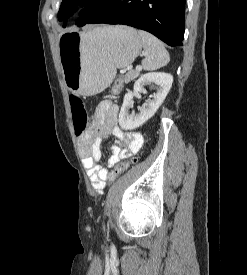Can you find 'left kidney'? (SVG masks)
I'll return each instance as SVG.
<instances>
[{
    "label": "left kidney",
    "mask_w": 247,
    "mask_h": 275,
    "mask_svg": "<svg viewBox=\"0 0 247 275\" xmlns=\"http://www.w3.org/2000/svg\"><path fill=\"white\" fill-rule=\"evenodd\" d=\"M173 83V76L164 72H150L142 75L134 84V92L138 93L145 85H157V92L154 93L153 99L145 107L139 110V113H129L133 106L134 94L128 92L124 96L123 104L119 113V125L122 129L132 130L143 125L158 110L166 98Z\"/></svg>",
    "instance_id": "1"
}]
</instances>
